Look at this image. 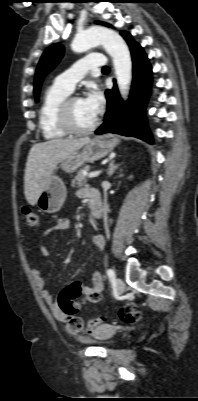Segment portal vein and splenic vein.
<instances>
[{
	"instance_id": "obj_1",
	"label": "portal vein and splenic vein",
	"mask_w": 198,
	"mask_h": 401,
	"mask_svg": "<svg viewBox=\"0 0 198 401\" xmlns=\"http://www.w3.org/2000/svg\"><path fill=\"white\" fill-rule=\"evenodd\" d=\"M100 173H101V171L91 172L90 174H88V177L95 178V177L99 176Z\"/></svg>"
}]
</instances>
